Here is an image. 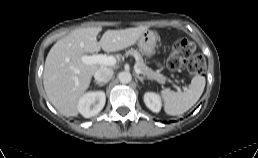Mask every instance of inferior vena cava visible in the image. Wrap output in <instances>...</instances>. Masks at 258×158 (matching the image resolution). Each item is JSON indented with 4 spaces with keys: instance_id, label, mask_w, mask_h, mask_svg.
I'll return each mask as SVG.
<instances>
[{
    "instance_id": "1",
    "label": "inferior vena cava",
    "mask_w": 258,
    "mask_h": 158,
    "mask_svg": "<svg viewBox=\"0 0 258 158\" xmlns=\"http://www.w3.org/2000/svg\"><path fill=\"white\" fill-rule=\"evenodd\" d=\"M112 76L113 70L108 67H101L94 74V78L98 83H107Z\"/></svg>"
}]
</instances>
